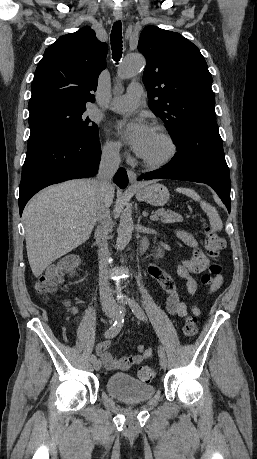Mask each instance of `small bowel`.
Segmentation results:
<instances>
[{
	"label": "small bowel",
	"mask_w": 257,
	"mask_h": 459,
	"mask_svg": "<svg viewBox=\"0 0 257 459\" xmlns=\"http://www.w3.org/2000/svg\"><path fill=\"white\" fill-rule=\"evenodd\" d=\"M176 235L186 246L193 249V256L190 259L183 260L177 265V274L185 280L187 292L195 296L198 285L193 275L205 271L209 265V260L204 252L199 249L198 242L192 234L184 230H178ZM148 274L159 283L160 287L165 292L167 312L173 316L185 317L188 314V307L186 303L180 299L175 283L170 275L157 266H150L148 268ZM222 283V277L217 276L211 284L209 292L213 293L217 291L222 286ZM71 311L75 314L78 309L76 306H72ZM191 311L196 316L201 314V310L196 302L193 304ZM110 346L111 341L105 340L96 347V351L108 371L127 370L134 365L141 364L152 354V349L150 347L140 344L137 346L138 355L115 359L108 351Z\"/></svg>",
	"instance_id": "small-bowel-1"
}]
</instances>
